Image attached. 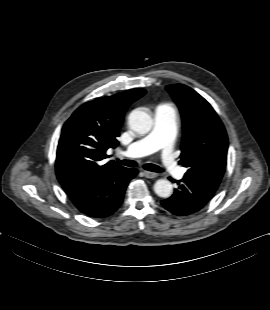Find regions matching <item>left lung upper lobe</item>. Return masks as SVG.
Here are the masks:
<instances>
[{"label": "left lung upper lobe", "mask_w": 270, "mask_h": 310, "mask_svg": "<svg viewBox=\"0 0 270 310\" xmlns=\"http://www.w3.org/2000/svg\"><path fill=\"white\" fill-rule=\"evenodd\" d=\"M178 105L183 120L180 164L186 175L221 181L226 168L228 138L212 106L183 84L166 87Z\"/></svg>", "instance_id": "1"}]
</instances>
